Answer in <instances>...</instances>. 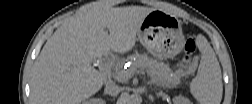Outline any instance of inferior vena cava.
<instances>
[{
  "label": "inferior vena cava",
  "instance_id": "1",
  "mask_svg": "<svg viewBox=\"0 0 252 104\" xmlns=\"http://www.w3.org/2000/svg\"><path fill=\"white\" fill-rule=\"evenodd\" d=\"M122 88L116 85L114 82H108L105 86L104 92L105 94L116 96L121 92Z\"/></svg>",
  "mask_w": 252,
  "mask_h": 104
}]
</instances>
